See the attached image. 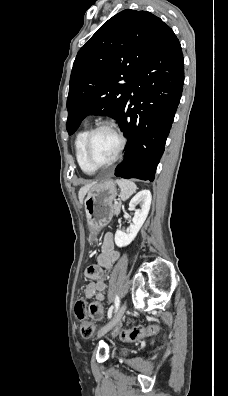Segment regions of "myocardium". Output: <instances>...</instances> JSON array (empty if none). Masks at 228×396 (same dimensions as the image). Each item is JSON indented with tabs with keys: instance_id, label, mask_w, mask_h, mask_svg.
<instances>
[{
	"instance_id": "1",
	"label": "myocardium",
	"mask_w": 228,
	"mask_h": 396,
	"mask_svg": "<svg viewBox=\"0 0 228 396\" xmlns=\"http://www.w3.org/2000/svg\"><path fill=\"white\" fill-rule=\"evenodd\" d=\"M102 129H110L117 136L118 147H117L114 157L108 163L103 164V165H96L92 162L89 152H90V146H91V142H92L94 135ZM124 146H125V138L122 135V133L119 131V129L113 123H111L109 121L100 122L89 131V133L85 139V143H84V147H83V155H84L85 162L94 171L108 168L118 161V159L120 158V156L122 154Z\"/></svg>"
}]
</instances>
